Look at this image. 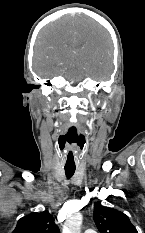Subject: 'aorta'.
I'll use <instances>...</instances> for the list:
<instances>
[{"mask_svg": "<svg viewBox=\"0 0 145 233\" xmlns=\"http://www.w3.org/2000/svg\"><path fill=\"white\" fill-rule=\"evenodd\" d=\"M82 214L76 213L66 220L63 233H80L82 225Z\"/></svg>", "mask_w": 145, "mask_h": 233, "instance_id": "obj_1", "label": "aorta"}]
</instances>
